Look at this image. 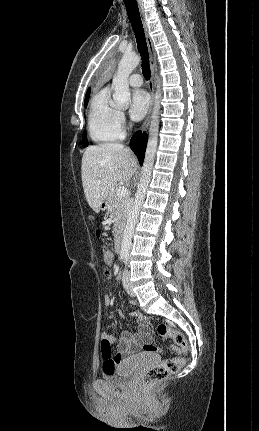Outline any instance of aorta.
<instances>
[{
	"label": "aorta",
	"mask_w": 259,
	"mask_h": 431,
	"mask_svg": "<svg viewBox=\"0 0 259 431\" xmlns=\"http://www.w3.org/2000/svg\"><path fill=\"white\" fill-rule=\"evenodd\" d=\"M140 61L141 58L135 54H124L122 57L112 81V85L114 87L113 100L115 107L120 109L128 107L131 100L128 78L132 71L138 66ZM161 95V82L158 79L157 90L155 93V102L151 115L149 140L141 170V177L137 192L135 194L134 202L128 214L121 244V255L123 256L129 255L135 225L138 221L139 211L144 202L146 191L151 179V173L158 144Z\"/></svg>",
	"instance_id": "aorta-1"
}]
</instances>
